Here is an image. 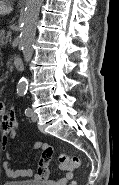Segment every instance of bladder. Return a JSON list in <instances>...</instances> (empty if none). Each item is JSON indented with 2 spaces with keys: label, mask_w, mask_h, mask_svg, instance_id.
<instances>
[{
  "label": "bladder",
  "mask_w": 119,
  "mask_h": 185,
  "mask_svg": "<svg viewBox=\"0 0 119 185\" xmlns=\"http://www.w3.org/2000/svg\"><path fill=\"white\" fill-rule=\"evenodd\" d=\"M4 185H44V184L34 180H21V181H9L6 182Z\"/></svg>",
  "instance_id": "obj_1"
}]
</instances>
